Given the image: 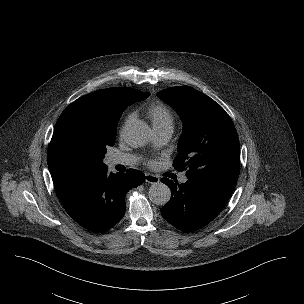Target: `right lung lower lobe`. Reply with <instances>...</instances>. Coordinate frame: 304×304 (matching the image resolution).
<instances>
[{"label":"right lung lower lobe","instance_id":"1","mask_svg":"<svg viewBox=\"0 0 304 304\" xmlns=\"http://www.w3.org/2000/svg\"><path fill=\"white\" fill-rule=\"evenodd\" d=\"M145 180L142 172L128 169L126 173L108 172V166L96 171L72 196L63 201L67 213L81 226L103 232L125 214V196L129 189Z\"/></svg>","mask_w":304,"mask_h":304}]
</instances>
